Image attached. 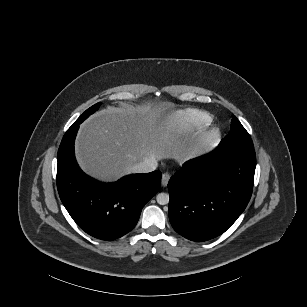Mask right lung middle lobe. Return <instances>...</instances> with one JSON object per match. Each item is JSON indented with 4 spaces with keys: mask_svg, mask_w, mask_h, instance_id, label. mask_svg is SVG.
<instances>
[{
    "mask_svg": "<svg viewBox=\"0 0 307 307\" xmlns=\"http://www.w3.org/2000/svg\"><path fill=\"white\" fill-rule=\"evenodd\" d=\"M101 103H97L95 105H93L92 107H90L89 109H87L79 118L78 120L84 121L86 118L89 117V115L93 114L99 107H100Z\"/></svg>",
    "mask_w": 307,
    "mask_h": 307,
    "instance_id": "dd1d6c3e",
    "label": "right lung middle lobe"
}]
</instances>
